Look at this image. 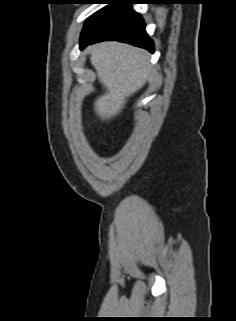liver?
Listing matches in <instances>:
<instances>
[{
  "instance_id": "6515ba94",
  "label": "liver",
  "mask_w": 236,
  "mask_h": 321,
  "mask_svg": "<svg viewBox=\"0 0 236 321\" xmlns=\"http://www.w3.org/2000/svg\"><path fill=\"white\" fill-rule=\"evenodd\" d=\"M90 61L106 92L94 103L102 120L117 116L127 98L140 90L150 72L147 52L119 42H102L89 47Z\"/></svg>"
}]
</instances>
